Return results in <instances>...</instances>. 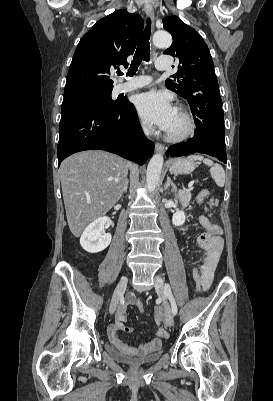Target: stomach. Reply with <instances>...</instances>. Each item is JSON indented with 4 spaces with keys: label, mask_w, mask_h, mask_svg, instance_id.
Instances as JSON below:
<instances>
[{
    "label": "stomach",
    "mask_w": 273,
    "mask_h": 401,
    "mask_svg": "<svg viewBox=\"0 0 273 401\" xmlns=\"http://www.w3.org/2000/svg\"><path fill=\"white\" fill-rule=\"evenodd\" d=\"M196 166L197 162L190 160V158H176V160H170V172H174V174H189Z\"/></svg>",
    "instance_id": "stomach-1"
}]
</instances>
